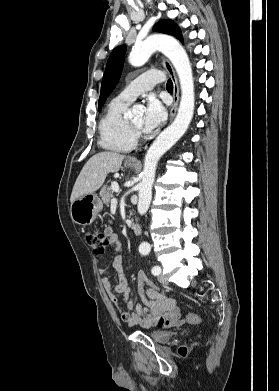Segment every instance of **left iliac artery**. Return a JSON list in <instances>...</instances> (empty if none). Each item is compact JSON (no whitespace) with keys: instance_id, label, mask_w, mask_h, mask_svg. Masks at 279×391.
<instances>
[{"instance_id":"obj_1","label":"left iliac artery","mask_w":279,"mask_h":391,"mask_svg":"<svg viewBox=\"0 0 279 391\" xmlns=\"http://www.w3.org/2000/svg\"><path fill=\"white\" fill-rule=\"evenodd\" d=\"M148 252H149V250H144V251H142V254H148ZM151 271H152V274L156 276L161 273V268L159 266H154Z\"/></svg>"}]
</instances>
